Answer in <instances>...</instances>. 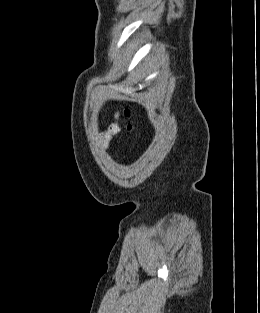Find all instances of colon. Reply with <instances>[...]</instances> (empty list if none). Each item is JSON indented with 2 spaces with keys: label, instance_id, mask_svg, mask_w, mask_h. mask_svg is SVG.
Returning a JSON list of instances; mask_svg holds the SVG:
<instances>
[{
  "label": "colon",
  "instance_id": "1",
  "mask_svg": "<svg viewBox=\"0 0 260 313\" xmlns=\"http://www.w3.org/2000/svg\"><path fill=\"white\" fill-rule=\"evenodd\" d=\"M125 115H126L128 118H130L131 115H132L131 110L127 109V110L125 111ZM127 130H128L129 132H132V131L134 130V125H133V123H131V122L128 123V125H127Z\"/></svg>",
  "mask_w": 260,
  "mask_h": 313
}]
</instances>
